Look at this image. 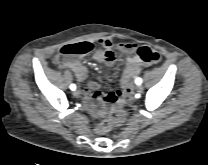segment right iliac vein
<instances>
[{"label":"right iliac vein","instance_id":"right-iliac-vein-1","mask_svg":"<svg viewBox=\"0 0 208 165\" xmlns=\"http://www.w3.org/2000/svg\"><path fill=\"white\" fill-rule=\"evenodd\" d=\"M73 95H74L75 97H79V96H80V91H79V90H75V91L73 92Z\"/></svg>","mask_w":208,"mask_h":165}]
</instances>
